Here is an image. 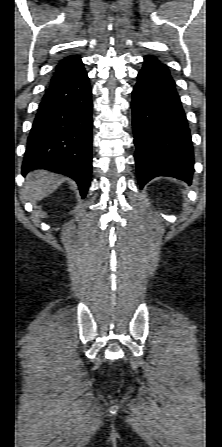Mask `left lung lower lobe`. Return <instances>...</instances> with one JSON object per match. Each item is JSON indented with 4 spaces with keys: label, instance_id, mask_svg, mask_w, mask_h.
I'll return each mask as SVG.
<instances>
[{
    "label": "left lung lower lobe",
    "instance_id": "obj_1",
    "mask_svg": "<svg viewBox=\"0 0 222 447\" xmlns=\"http://www.w3.org/2000/svg\"><path fill=\"white\" fill-rule=\"evenodd\" d=\"M132 97L140 187L162 175L190 184L194 160L186 115L168 68L156 57H144Z\"/></svg>",
    "mask_w": 222,
    "mask_h": 447
}]
</instances>
